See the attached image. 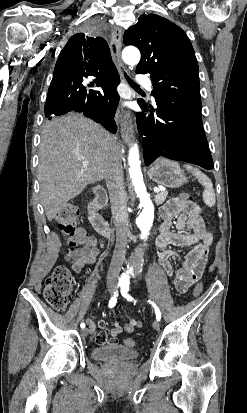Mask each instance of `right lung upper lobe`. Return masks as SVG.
I'll return each instance as SVG.
<instances>
[{"label":"right lung upper lobe","instance_id":"right-lung-upper-lobe-1","mask_svg":"<svg viewBox=\"0 0 247 413\" xmlns=\"http://www.w3.org/2000/svg\"><path fill=\"white\" fill-rule=\"evenodd\" d=\"M107 42L101 37L73 35L61 51L53 79L66 75L106 76L117 74Z\"/></svg>","mask_w":247,"mask_h":413}]
</instances>
